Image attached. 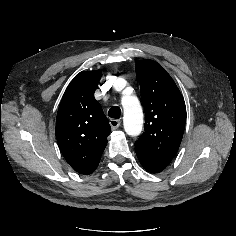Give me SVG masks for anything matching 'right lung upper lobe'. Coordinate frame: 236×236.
<instances>
[{"mask_svg": "<svg viewBox=\"0 0 236 236\" xmlns=\"http://www.w3.org/2000/svg\"><path fill=\"white\" fill-rule=\"evenodd\" d=\"M101 71H84L67 87L60 103L55 134L60 151L80 174H90L98 166L111 131L94 92Z\"/></svg>", "mask_w": 236, "mask_h": 236, "instance_id": "obj_1", "label": "right lung upper lobe"}]
</instances>
